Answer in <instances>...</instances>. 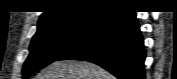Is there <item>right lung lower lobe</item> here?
I'll return each instance as SVG.
<instances>
[{
  "label": "right lung lower lobe",
  "mask_w": 177,
  "mask_h": 79,
  "mask_svg": "<svg viewBox=\"0 0 177 79\" xmlns=\"http://www.w3.org/2000/svg\"><path fill=\"white\" fill-rule=\"evenodd\" d=\"M58 60H85L109 71L118 79H145V47L135 12L116 8L75 47Z\"/></svg>",
  "instance_id": "obj_1"
}]
</instances>
